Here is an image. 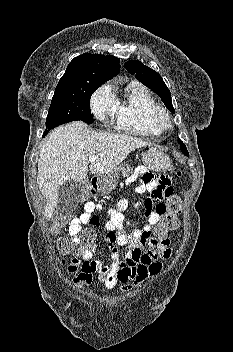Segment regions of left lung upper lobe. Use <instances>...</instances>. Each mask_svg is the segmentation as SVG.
I'll use <instances>...</instances> for the list:
<instances>
[{
    "instance_id": "obj_1",
    "label": "left lung upper lobe",
    "mask_w": 233,
    "mask_h": 352,
    "mask_svg": "<svg viewBox=\"0 0 233 352\" xmlns=\"http://www.w3.org/2000/svg\"><path fill=\"white\" fill-rule=\"evenodd\" d=\"M127 71L136 76V78L142 82L145 86L154 91L165 106L171 111L175 112L172 106L171 95L168 87L165 85L162 77L153 69L145 66L140 61L130 60L124 64ZM180 149L183 153H188L186 146L180 141ZM189 154V153H188Z\"/></svg>"
}]
</instances>
